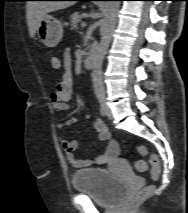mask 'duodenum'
Masks as SVG:
<instances>
[{
    "instance_id": "410a0bca",
    "label": "duodenum",
    "mask_w": 188,
    "mask_h": 213,
    "mask_svg": "<svg viewBox=\"0 0 188 213\" xmlns=\"http://www.w3.org/2000/svg\"><path fill=\"white\" fill-rule=\"evenodd\" d=\"M96 57H97V47L92 46L88 55L86 56V58L84 60L85 68L92 69L96 63Z\"/></svg>"
}]
</instances>
